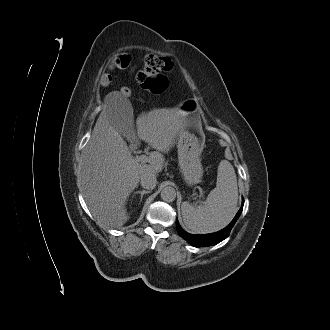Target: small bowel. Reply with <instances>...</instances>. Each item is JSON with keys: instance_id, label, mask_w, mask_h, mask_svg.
Returning <instances> with one entry per match:
<instances>
[{"instance_id": "obj_1", "label": "small bowel", "mask_w": 330, "mask_h": 330, "mask_svg": "<svg viewBox=\"0 0 330 330\" xmlns=\"http://www.w3.org/2000/svg\"><path fill=\"white\" fill-rule=\"evenodd\" d=\"M134 70H135V67H133V68H131V70H130V72H134ZM104 83H109V81H107L106 79H104Z\"/></svg>"}]
</instances>
